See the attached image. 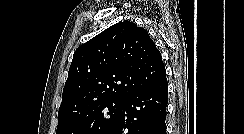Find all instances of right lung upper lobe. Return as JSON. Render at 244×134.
<instances>
[{
	"label": "right lung upper lobe",
	"mask_w": 244,
	"mask_h": 134,
	"mask_svg": "<svg viewBox=\"0 0 244 134\" xmlns=\"http://www.w3.org/2000/svg\"><path fill=\"white\" fill-rule=\"evenodd\" d=\"M165 76L160 51L147 31L129 21L114 24L74 52L58 120L102 101L126 100Z\"/></svg>",
	"instance_id": "1"
}]
</instances>
